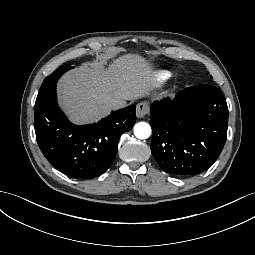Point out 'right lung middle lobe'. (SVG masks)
<instances>
[{"label": "right lung middle lobe", "instance_id": "dd1d6c3e", "mask_svg": "<svg viewBox=\"0 0 255 255\" xmlns=\"http://www.w3.org/2000/svg\"><path fill=\"white\" fill-rule=\"evenodd\" d=\"M72 67L69 64H65L61 67H59L57 70H55L51 75H49L48 77H46L41 85L40 91L54 86L56 85V82L58 81V79L61 77V75L63 73H65L66 71L70 70Z\"/></svg>", "mask_w": 255, "mask_h": 255}]
</instances>
